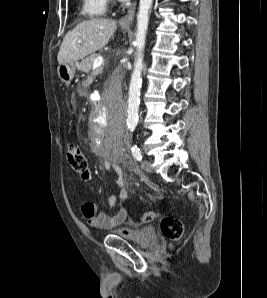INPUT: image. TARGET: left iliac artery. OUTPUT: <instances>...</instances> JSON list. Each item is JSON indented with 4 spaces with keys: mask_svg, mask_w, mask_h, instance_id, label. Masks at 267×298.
Returning <instances> with one entry per match:
<instances>
[{
    "mask_svg": "<svg viewBox=\"0 0 267 298\" xmlns=\"http://www.w3.org/2000/svg\"><path fill=\"white\" fill-rule=\"evenodd\" d=\"M131 150H132L133 157L137 161H141L142 160V153L140 151V148L137 145L134 144V145H132Z\"/></svg>",
    "mask_w": 267,
    "mask_h": 298,
    "instance_id": "obj_1",
    "label": "left iliac artery"
}]
</instances>
